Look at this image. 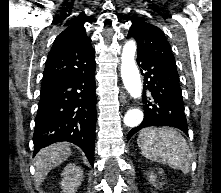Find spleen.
Listing matches in <instances>:
<instances>
[{
    "instance_id": "3e777b00",
    "label": "spleen",
    "mask_w": 221,
    "mask_h": 193,
    "mask_svg": "<svg viewBox=\"0 0 221 193\" xmlns=\"http://www.w3.org/2000/svg\"><path fill=\"white\" fill-rule=\"evenodd\" d=\"M137 144L142 155L151 161L166 164L183 173H188L191 168L189 146L173 128H145L140 132Z\"/></svg>"
}]
</instances>
